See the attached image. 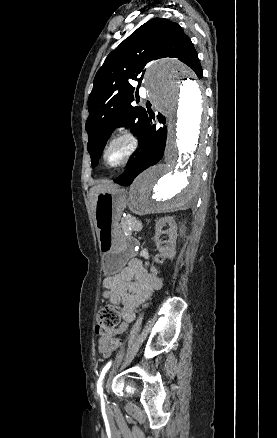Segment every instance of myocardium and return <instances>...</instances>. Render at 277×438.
Instances as JSON below:
<instances>
[{
  "instance_id": "1",
  "label": "myocardium",
  "mask_w": 277,
  "mask_h": 438,
  "mask_svg": "<svg viewBox=\"0 0 277 438\" xmlns=\"http://www.w3.org/2000/svg\"><path fill=\"white\" fill-rule=\"evenodd\" d=\"M118 142H124L126 144V152H125L123 158L119 162L114 163V164H110L107 161V153L110 150V148ZM138 148H139L138 137L130 130L121 131L118 134H116L115 136H113L107 142L106 146L104 147L103 152H102L103 163L109 169H118V168L124 167L136 155Z\"/></svg>"
}]
</instances>
